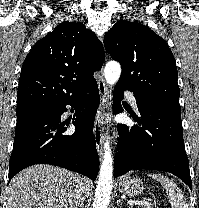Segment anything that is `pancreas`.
Returning <instances> with one entry per match:
<instances>
[{
    "label": "pancreas",
    "instance_id": "1",
    "mask_svg": "<svg viewBox=\"0 0 199 208\" xmlns=\"http://www.w3.org/2000/svg\"><path fill=\"white\" fill-rule=\"evenodd\" d=\"M143 208H153V207L150 205H144Z\"/></svg>",
    "mask_w": 199,
    "mask_h": 208
}]
</instances>
